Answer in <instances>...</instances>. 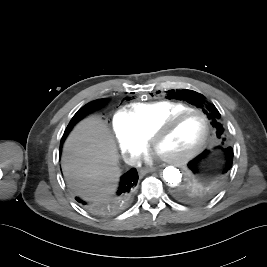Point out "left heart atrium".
<instances>
[{
  "label": "left heart atrium",
  "mask_w": 267,
  "mask_h": 267,
  "mask_svg": "<svg viewBox=\"0 0 267 267\" xmlns=\"http://www.w3.org/2000/svg\"><path fill=\"white\" fill-rule=\"evenodd\" d=\"M155 155H160L159 153H155Z\"/></svg>",
  "instance_id": "left-heart-atrium-1"
}]
</instances>
